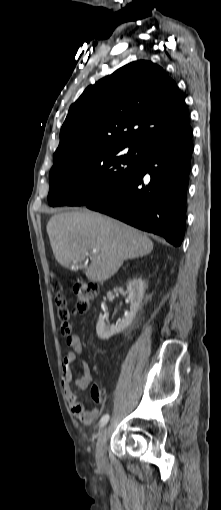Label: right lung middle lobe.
Wrapping results in <instances>:
<instances>
[{"instance_id": "dd1d6c3e", "label": "right lung middle lobe", "mask_w": 221, "mask_h": 510, "mask_svg": "<svg viewBox=\"0 0 221 510\" xmlns=\"http://www.w3.org/2000/svg\"><path fill=\"white\" fill-rule=\"evenodd\" d=\"M124 148L103 146L72 154L54 165L49 174V205H85L125 183L140 165L141 148L130 147L126 154Z\"/></svg>"}]
</instances>
